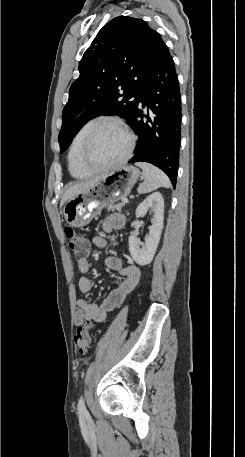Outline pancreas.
<instances>
[{
	"instance_id": "pancreas-1",
	"label": "pancreas",
	"mask_w": 245,
	"mask_h": 457,
	"mask_svg": "<svg viewBox=\"0 0 245 457\" xmlns=\"http://www.w3.org/2000/svg\"><path fill=\"white\" fill-rule=\"evenodd\" d=\"M105 206L107 210H119V212H121V208L122 206H125V202H116V204H114V202H107Z\"/></svg>"
}]
</instances>
